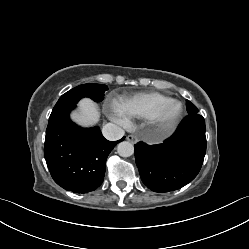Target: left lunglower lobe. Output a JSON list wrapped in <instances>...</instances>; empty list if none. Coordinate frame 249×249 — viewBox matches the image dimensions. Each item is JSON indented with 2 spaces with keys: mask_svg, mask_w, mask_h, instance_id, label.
Segmentation results:
<instances>
[{
  "mask_svg": "<svg viewBox=\"0 0 249 249\" xmlns=\"http://www.w3.org/2000/svg\"><path fill=\"white\" fill-rule=\"evenodd\" d=\"M136 164L143 183L154 192L182 188L199 173L206 153L205 121L188 114L162 144L135 146Z\"/></svg>",
  "mask_w": 249,
  "mask_h": 249,
  "instance_id": "1",
  "label": "left lung lower lobe"
}]
</instances>
